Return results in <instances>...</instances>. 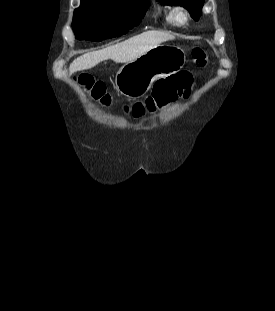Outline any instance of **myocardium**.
<instances>
[{
    "label": "myocardium",
    "instance_id": "f54148a6",
    "mask_svg": "<svg viewBox=\"0 0 275 311\" xmlns=\"http://www.w3.org/2000/svg\"><path fill=\"white\" fill-rule=\"evenodd\" d=\"M171 19L176 27H183L189 21V13L183 7H175L171 11Z\"/></svg>",
    "mask_w": 275,
    "mask_h": 311
}]
</instances>
